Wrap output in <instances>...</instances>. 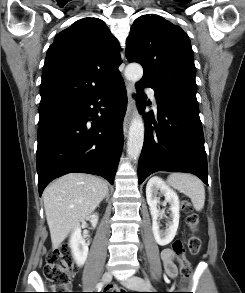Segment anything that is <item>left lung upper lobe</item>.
Returning <instances> with one entry per match:
<instances>
[{
  "instance_id": "obj_1",
  "label": "left lung upper lobe",
  "mask_w": 245,
  "mask_h": 293,
  "mask_svg": "<svg viewBox=\"0 0 245 293\" xmlns=\"http://www.w3.org/2000/svg\"><path fill=\"white\" fill-rule=\"evenodd\" d=\"M193 57L189 37L179 26L150 15L133 23L126 58L142 65L144 75L140 82L151 86L158 95L198 106Z\"/></svg>"
}]
</instances>
